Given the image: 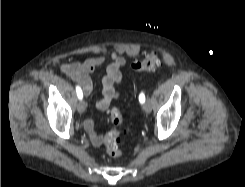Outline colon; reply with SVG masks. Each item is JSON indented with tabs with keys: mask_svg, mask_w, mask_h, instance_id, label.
Wrapping results in <instances>:
<instances>
[{
	"mask_svg": "<svg viewBox=\"0 0 245 187\" xmlns=\"http://www.w3.org/2000/svg\"><path fill=\"white\" fill-rule=\"evenodd\" d=\"M161 65V55L156 51H151L146 54L143 60L133 63L132 69L137 72H150L157 69ZM108 114L111 122L114 125V129L104 138L103 144L106 153L109 156L116 158L122 154V151L118 145V140L125 132L122 129L123 115L120 109L117 107H110L108 109Z\"/></svg>",
	"mask_w": 245,
	"mask_h": 187,
	"instance_id": "obj_1",
	"label": "colon"
}]
</instances>
